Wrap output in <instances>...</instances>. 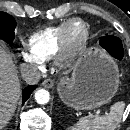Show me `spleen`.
I'll return each instance as SVG.
<instances>
[{"label": "spleen", "mask_w": 130, "mask_h": 130, "mask_svg": "<svg viewBox=\"0 0 130 130\" xmlns=\"http://www.w3.org/2000/svg\"><path fill=\"white\" fill-rule=\"evenodd\" d=\"M125 103L117 102L110 108V112L104 116L82 117L76 125L68 130H114L124 112Z\"/></svg>", "instance_id": "3e777b00"}]
</instances>
